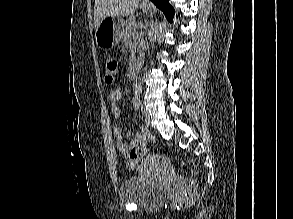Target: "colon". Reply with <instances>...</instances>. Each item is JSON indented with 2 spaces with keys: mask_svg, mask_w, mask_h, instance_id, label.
<instances>
[{
  "mask_svg": "<svg viewBox=\"0 0 293 219\" xmlns=\"http://www.w3.org/2000/svg\"><path fill=\"white\" fill-rule=\"evenodd\" d=\"M118 70V62L113 56H107L104 59L105 82L111 84ZM154 144V136L146 130L143 134L141 144L132 148L129 152L128 166L133 168L138 161L148 152Z\"/></svg>",
  "mask_w": 293,
  "mask_h": 219,
  "instance_id": "5ec220e1",
  "label": "colon"
}]
</instances>
